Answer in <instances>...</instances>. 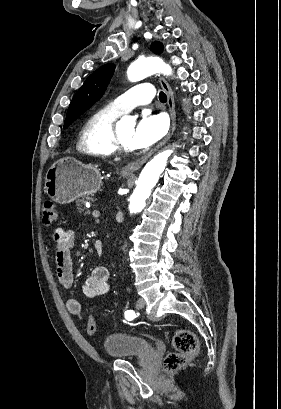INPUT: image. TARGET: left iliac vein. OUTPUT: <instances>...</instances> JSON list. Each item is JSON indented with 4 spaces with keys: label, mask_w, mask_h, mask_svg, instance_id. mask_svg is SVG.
Segmentation results:
<instances>
[{
    "label": "left iliac vein",
    "mask_w": 281,
    "mask_h": 409,
    "mask_svg": "<svg viewBox=\"0 0 281 409\" xmlns=\"http://www.w3.org/2000/svg\"><path fill=\"white\" fill-rule=\"evenodd\" d=\"M144 306H145V300L143 298H139L136 301V308L137 309H142V308H144Z\"/></svg>",
    "instance_id": "obj_1"
}]
</instances>
